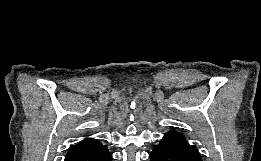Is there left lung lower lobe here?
Segmentation results:
<instances>
[{
    "label": "left lung lower lobe",
    "mask_w": 261,
    "mask_h": 161,
    "mask_svg": "<svg viewBox=\"0 0 261 161\" xmlns=\"http://www.w3.org/2000/svg\"><path fill=\"white\" fill-rule=\"evenodd\" d=\"M150 161H202L195 145L178 132H169L154 145Z\"/></svg>",
    "instance_id": "left-lung-lower-lobe-1"
}]
</instances>
